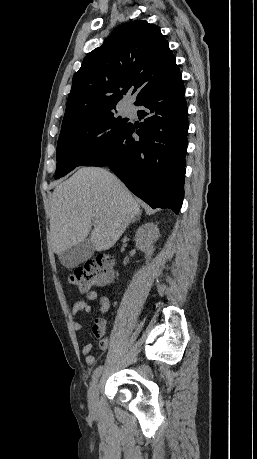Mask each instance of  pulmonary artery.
<instances>
[{"mask_svg":"<svg viewBox=\"0 0 257 459\" xmlns=\"http://www.w3.org/2000/svg\"><path fill=\"white\" fill-rule=\"evenodd\" d=\"M125 111H126L127 113H131V112H132V107H131V106H127V107L125 108Z\"/></svg>","mask_w":257,"mask_h":459,"instance_id":"pulmonary-artery-1","label":"pulmonary artery"}]
</instances>
